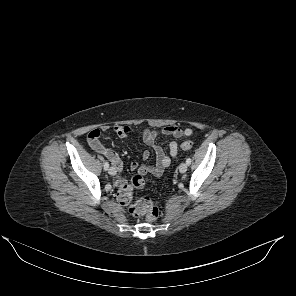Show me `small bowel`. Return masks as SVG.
<instances>
[{"instance_id": "small-bowel-1", "label": "small bowel", "mask_w": 296, "mask_h": 296, "mask_svg": "<svg viewBox=\"0 0 296 296\" xmlns=\"http://www.w3.org/2000/svg\"><path fill=\"white\" fill-rule=\"evenodd\" d=\"M109 126H102L101 128L92 129L88 134V145L98 154L108 158L113 164L117 176L115 178V185L117 187H122L127 184L126 179L122 176L123 164L118 153L112 149L106 148L100 141V136L102 132L109 130ZM114 132L120 138H127L131 135L132 130L126 126H114ZM192 130L190 128L182 129L178 125H169L162 128L159 131L150 130L148 128H143L140 130V135L143 142L153 148L156 155V163L154 165L139 164L138 162H132L130 164L131 170H138L144 174H151L152 176L158 178L160 177L165 169L170 165L172 158H175L178 154V144L172 141L168 145L169 155L166 154L162 146L157 143L158 136H173L176 138L190 136ZM150 157V152L145 150L142 152V159L147 160Z\"/></svg>"}]
</instances>
